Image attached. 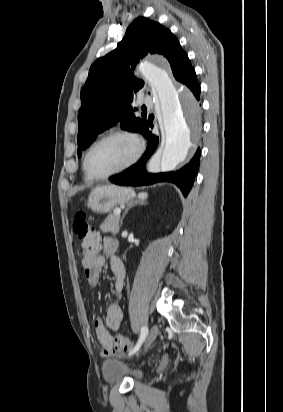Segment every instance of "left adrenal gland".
Listing matches in <instances>:
<instances>
[{
    "label": "left adrenal gland",
    "instance_id": "a2214340",
    "mask_svg": "<svg viewBox=\"0 0 283 412\" xmlns=\"http://www.w3.org/2000/svg\"><path fill=\"white\" fill-rule=\"evenodd\" d=\"M143 205L144 204V199H141V198H139V199H136L135 201H132L128 206H127V208L125 209V211H124V213H123V216H122V218H121V226H122V224H123V219H124V217H125V215L128 213V211H129V209L131 208V207H133V206H135V205Z\"/></svg>",
    "mask_w": 283,
    "mask_h": 412
}]
</instances>
